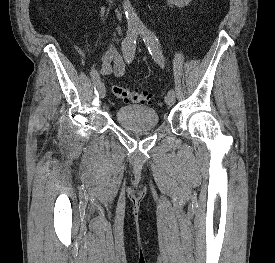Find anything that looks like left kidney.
<instances>
[{"label":"left kidney","mask_w":275,"mask_h":263,"mask_svg":"<svg viewBox=\"0 0 275 263\" xmlns=\"http://www.w3.org/2000/svg\"><path fill=\"white\" fill-rule=\"evenodd\" d=\"M167 1L175 6L183 7V6H186L192 0H167Z\"/></svg>","instance_id":"1"}]
</instances>
